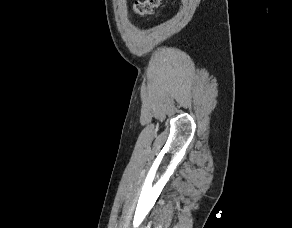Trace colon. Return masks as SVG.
Masks as SVG:
<instances>
[{
  "instance_id": "obj_1",
  "label": "colon",
  "mask_w": 292,
  "mask_h": 228,
  "mask_svg": "<svg viewBox=\"0 0 292 228\" xmlns=\"http://www.w3.org/2000/svg\"><path fill=\"white\" fill-rule=\"evenodd\" d=\"M161 0H136L132 12L137 16H150L155 13Z\"/></svg>"
}]
</instances>
